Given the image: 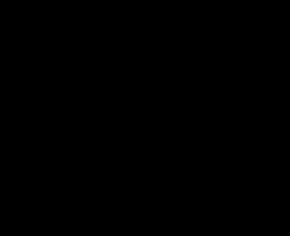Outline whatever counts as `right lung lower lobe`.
Segmentation results:
<instances>
[{
  "instance_id": "right-lung-lower-lobe-1",
  "label": "right lung lower lobe",
  "mask_w": 290,
  "mask_h": 236,
  "mask_svg": "<svg viewBox=\"0 0 290 236\" xmlns=\"http://www.w3.org/2000/svg\"><path fill=\"white\" fill-rule=\"evenodd\" d=\"M50 127L68 174L98 196L123 188L138 155L149 144L144 122L131 110L55 109Z\"/></svg>"
}]
</instances>
